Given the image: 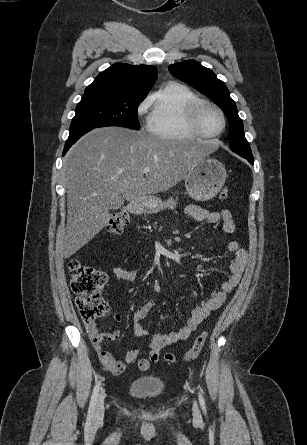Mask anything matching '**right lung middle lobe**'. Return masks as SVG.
Segmentation results:
<instances>
[{"mask_svg": "<svg viewBox=\"0 0 307 445\" xmlns=\"http://www.w3.org/2000/svg\"><path fill=\"white\" fill-rule=\"evenodd\" d=\"M145 97L90 95L82 96L70 126V135L85 130L120 126L138 130L137 108Z\"/></svg>", "mask_w": 307, "mask_h": 445, "instance_id": "right-lung-middle-lobe-1", "label": "right lung middle lobe"}]
</instances>
